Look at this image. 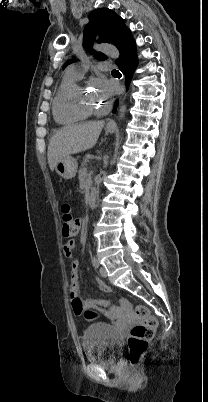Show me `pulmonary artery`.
Listing matches in <instances>:
<instances>
[{
  "instance_id": "1",
  "label": "pulmonary artery",
  "mask_w": 208,
  "mask_h": 402,
  "mask_svg": "<svg viewBox=\"0 0 208 402\" xmlns=\"http://www.w3.org/2000/svg\"><path fill=\"white\" fill-rule=\"evenodd\" d=\"M99 69L102 71H110L111 70V65L110 62L107 60H102L100 62ZM66 76L74 78L76 80L80 79L82 77V73L79 72L78 68L75 66H69L66 70Z\"/></svg>"
}]
</instances>
